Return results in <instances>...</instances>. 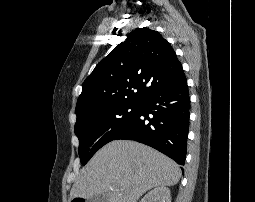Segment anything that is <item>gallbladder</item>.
I'll use <instances>...</instances> for the list:
<instances>
[{
  "instance_id": "1",
  "label": "gallbladder",
  "mask_w": 255,
  "mask_h": 202,
  "mask_svg": "<svg viewBox=\"0 0 255 202\" xmlns=\"http://www.w3.org/2000/svg\"><path fill=\"white\" fill-rule=\"evenodd\" d=\"M88 202H108V197L106 194H99L91 197Z\"/></svg>"
}]
</instances>
